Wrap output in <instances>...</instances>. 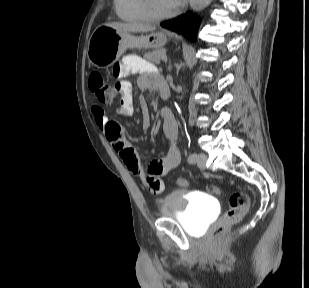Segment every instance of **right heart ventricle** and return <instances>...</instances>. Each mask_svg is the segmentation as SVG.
<instances>
[{
    "label": "right heart ventricle",
    "mask_w": 309,
    "mask_h": 288,
    "mask_svg": "<svg viewBox=\"0 0 309 288\" xmlns=\"http://www.w3.org/2000/svg\"><path fill=\"white\" fill-rule=\"evenodd\" d=\"M114 9L120 19L129 23L144 24L152 21L144 11L142 0H114Z\"/></svg>",
    "instance_id": "obj_1"
}]
</instances>
